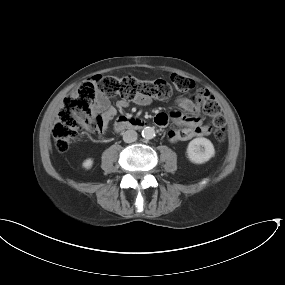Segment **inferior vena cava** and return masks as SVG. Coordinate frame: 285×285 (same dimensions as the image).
<instances>
[{
  "mask_svg": "<svg viewBox=\"0 0 285 285\" xmlns=\"http://www.w3.org/2000/svg\"><path fill=\"white\" fill-rule=\"evenodd\" d=\"M123 140L126 143H132L137 140V132L134 130H127L123 133Z\"/></svg>",
  "mask_w": 285,
  "mask_h": 285,
  "instance_id": "1",
  "label": "inferior vena cava"
}]
</instances>
